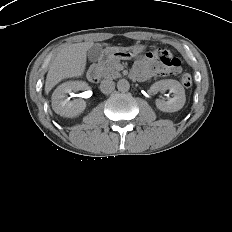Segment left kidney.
<instances>
[{
  "label": "left kidney",
  "mask_w": 232,
  "mask_h": 232,
  "mask_svg": "<svg viewBox=\"0 0 232 232\" xmlns=\"http://www.w3.org/2000/svg\"><path fill=\"white\" fill-rule=\"evenodd\" d=\"M150 90L153 94H157L161 91L170 90L173 93V97L168 101L157 100L156 107L163 112H176L179 111L185 104V90L183 86L176 80L165 79L155 82Z\"/></svg>",
  "instance_id": "obj_1"
}]
</instances>
